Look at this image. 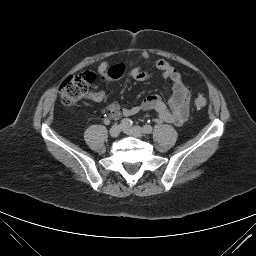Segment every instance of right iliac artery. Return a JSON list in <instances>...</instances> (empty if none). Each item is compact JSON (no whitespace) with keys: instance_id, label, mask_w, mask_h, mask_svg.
<instances>
[{"instance_id":"82829eb1","label":"right iliac artery","mask_w":256,"mask_h":256,"mask_svg":"<svg viewBox=\"0 0 256 256\" xmlns=\"http://www.w3.org/2000/svg\"><path fill=\"white\" fill-rule=\"evenodd\" d=\"M132 124H133L132 120L128 118L122 119L120 123L121 127H124V128L130 127L132 126Z\"/></svg>"}]
</instances>
